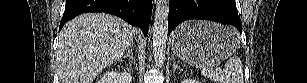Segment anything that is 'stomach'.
I'll list each match as a JSON object with an SVG mask.
<instances>
[{
    "label": "stomach",
    "instance_id": "stomach-1",
    "mask_svg": "<svg viewBox=\"0 0 307 83\" xmlns=\"http://www.w3.org/2000/svg\"><path fill=\"white\" fill-rule=\"evenodd\" d=\"M239 44V34L234 28L208 21L186 22L172 37L173 53L199 67L220 64L236 52Z\"/></svg>",
    "mask_w": 307,
    "mask_h": 83
}]
</instances>
